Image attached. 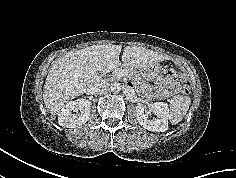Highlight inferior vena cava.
<instances>
[{
  "label": "inferior vena cava",
  "instance_id": "602c4592",
  "mask_svg": "<svg viewBox=\"0 0 236 178\" xmlns=\"http://www.w3.org/2000/svg\"><path fill=\"white\" fill-rule=\"evenodd\" d=\"M108 86H109V83L106 80H101V81L95 83L91 87L90 91L93 94L103 93L107 90Z\"/></svg>",
  "mask_w": 236,
  "mask_h": 178
}]
</instances>
